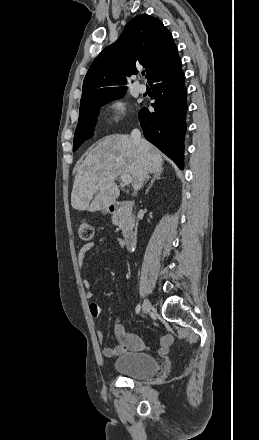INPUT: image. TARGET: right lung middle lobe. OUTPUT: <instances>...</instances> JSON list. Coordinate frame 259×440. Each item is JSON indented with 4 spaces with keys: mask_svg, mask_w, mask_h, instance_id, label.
I'll return each mask as SVG.
<instances>
[{
    "mask_svg": "<svg viewBox=\"0 0 259 440\" xmlns=\"http://www.w3.org/2000/svg\"><path fill=\"white\" fill-rule=\"evenodd\" d=\"M124 94L125 90L119 91L110 96L96 100L86 106L80 107L78 125L75 130L73 140V151H76L86 139H89L93 136V131L96 125L100 107L104 103L119 98Z\"/></svg>",
    "mask_w": 259,
    "mask_h": 440,
    "instance_id": "dd1d6c3e",
    "label": "right lung middle lobe"
}]
</instances>
